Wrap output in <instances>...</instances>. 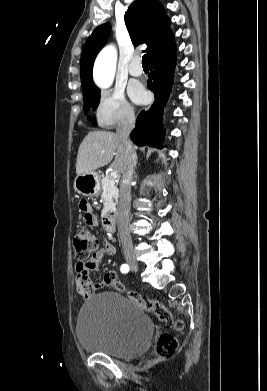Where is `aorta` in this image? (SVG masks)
<instances>
[{"label": "aorta", "instance_id": "1", "mask_svg": "<svg viewBox=\"0 0 267 391\" xmlns=\"http://www.w3.org/2000/svg\"><path fill=\"white\" fill-rule=\"evenodd\" d=\"M116 62L117 50L113 45L104 47L98 54L93 69L94 81L98 87L107 89L112 85Z\"/></svg>", "mask_w": 267, "mask_h": 391}]
</instances>
